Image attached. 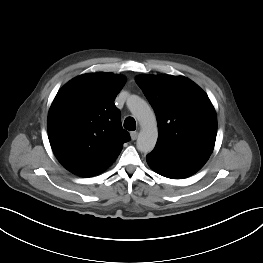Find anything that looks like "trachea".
Segmentation results:
<instances>
[{
	"label": "trachea",
	"instance_id": "obj_1",
	"mask_svg": "<svg viewBox=\"0 0 263 263\" xmlns=\"http://www.w3.org/2000/svg\"><path fill=\"white\" fill-rule=\"evenodd\" d=\"M124 128L129 131H134L136 129V122L133 117H127L124 121Z\"/></svg>",
	"mask_w": 263,
	"mask_h": 263
}]
</instances>
